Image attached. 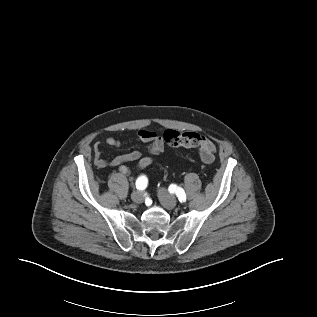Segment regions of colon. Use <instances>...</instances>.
I'll return each mask as SVG.
<instances>
[{"label":"colon","instance_id":"5ec220e1","mask_svg":"<svg viewBox=\"0 0 317 317\" xmlns=\"http://www.w3.org/2000/svg\"><path fill=\"white\" fill-rule=\"evenodd\" d=\"M163 140L169 147L172 148H192L200 145L201 136L196 132L169 129L163 133Z\"/></svg>","mask_w":317,"mask_h":317}]
</instances>
